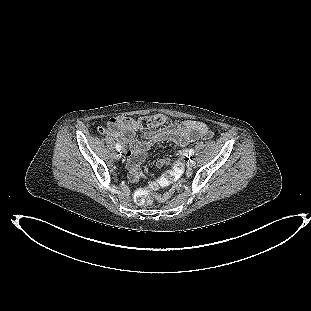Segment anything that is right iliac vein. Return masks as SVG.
<instances>
[{
	"instance_id": "63e3f726",
	"label": "right iliac vein",
	"mask_w": 311,
	"mask_h": 311,
	"mask_svg": "<svg viewBox=\"0 0 311 311\" xmlns=\"http://www.w3.org/2000/svg\"><path fill=\"white\" fill-rule=\"evenodd\" d=\"M116 154H117V153H113L112 155L115 157Z\"/></svg>"
}]
</instances>
